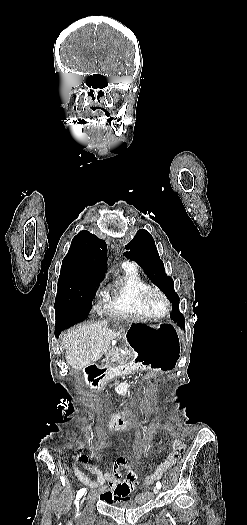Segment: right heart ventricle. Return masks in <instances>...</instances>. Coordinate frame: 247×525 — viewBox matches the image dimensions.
<instances>
[{"label": "right heart ventricle", "mask_w": 247, "mask_h": 525, "mask_svg": "<svg viewBox=\"0 0 247 525\" xmlns=\"http://www.w3.org/2000/svg\"><path fill=\"white\" fill-rule=\"evenodd\" d=\"M123 274L116 286L117 301L105 302L100 309V314L105 317H150L144 305L146 299L141 298L137 289L144 283L132 265L122 262Z\"/></svg>", "instance_id": "obj_1"}]
</instances>
